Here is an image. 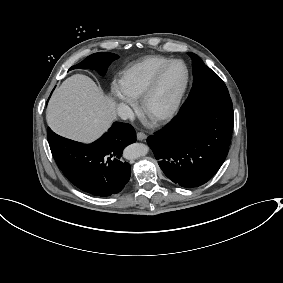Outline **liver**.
<instances>
[{
  "label": "liver",
  "mask_w": 283,
  "mask_h": 283,
  "mask_svg": "<svg viewBox=\"0 0 283 283\" xmlns=\"http://www.w3.org/2000/svg\"><path fill=\"white\" fill-rule=\"evenodd\" d=\"M117 103L104 95L88 76L67 78L52 95L47 111L48 126L58 135L90 143L116 119Z\"/></svg>",
  "instance_id": "6515ba94"
}]
</instances>
